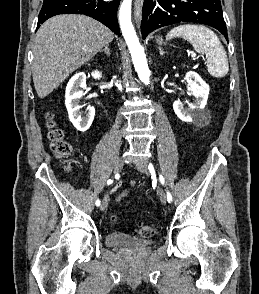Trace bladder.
<instances>
[{"label": "bladder", "mask_w": 259, "mask_h": 294, "mask_svg": "<svg viewBox=\"0 0 259 294\" xmlns=\"http://www.w3.org/2000/svg\"><path fill=\"white\" fill-rule=\"evenodd\" d=\"M150 240L138 238L122 232H111L106 236V243L112 247L139 248L150 244Z\"/></svg>", "instance_id": "31cf9c89"}]
</instances>
